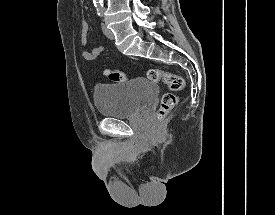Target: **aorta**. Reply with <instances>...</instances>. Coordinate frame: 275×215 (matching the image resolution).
<instances>
[{
  "instance_id": "762f6f07",
  "label": "aorta",
  "mask_w": 275,
  "mask_h": 215,
  "mask_svg": "<svg viewBox=\"0 0 275 215\" xmlns=\"http://www.w3.org/2000/svg\"><path fill=\"white\" fill-rule=\"evenodd\" d=\"M95 5H100L103 3V0H93Z\"/></svg>"
}]
</instances>
